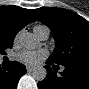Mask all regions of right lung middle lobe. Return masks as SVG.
Returning a JSON list of instances; mask_svg holds the SVG:
<instances>
[{"label":"right lung middle lobe","instance_id":"obj_1","mask_svg":"<svg viewBox=\"0 0 89 89\" xmlns=\"http://www.w3.org/2000/svg\"><path fill=\"white\" fill-rule=\"evenodd\" d=\"M13 43H7L0 41V53H5L6 48H12Z\"/></svg>","mask_w":89,"mask_h":89}]
</instances>
